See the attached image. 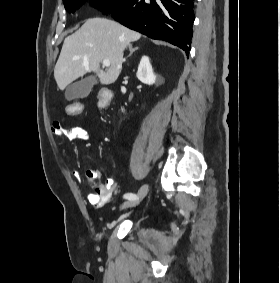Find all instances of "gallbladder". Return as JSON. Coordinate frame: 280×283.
I'll return each mask as SVG.
<instances>
[{
    "label": "gallbladder",
    "mask_w": 280,
    "mask_h": 283,
    "mask_svg": "<svg viewBox=\"0 0 280 283\" xmlns=\"http://www.w3.org/2000/svg\"><path fill=\"white\" fill-rule=\"evenodd\" d=\"M97 80L93 76L86 77L80 81L70 84L65 91V97L71 101L78 98H85L89 95Z\"/></svg>",
    "instance_id": "bac80fb5"
}]
</instances>
